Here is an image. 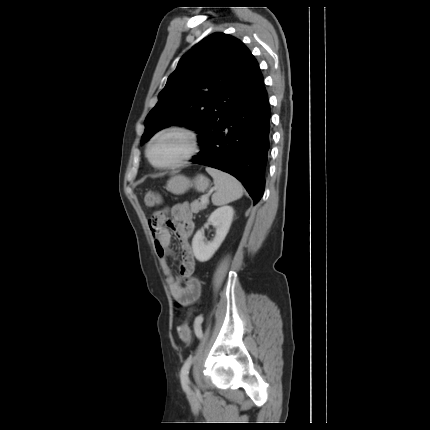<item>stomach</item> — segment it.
<instances>
[{
    "instance_id": "stomach-1",
    "label": "stomach",
    "mask_w": 430,
    "mask_h": 430,
    "mask_svg": "<svg viewBox=\"0 0 430 430\" xmlns=\"http://www.w3.org/2000/svg\"><path fill=\"white\" fill-rule=\"evenodd\" d=\"M209 186V180L204 175H197L190 179L184 175H176L167 181V190L174 195H182L190 188L204 192Z\"/></svg>"
}]
</instances>
